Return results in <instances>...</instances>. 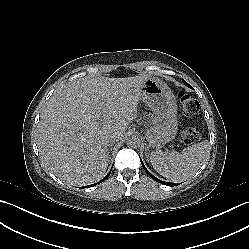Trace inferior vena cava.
<instances>
[{
	"label": "inferior vena cava",
	"mask_w": 249,
	"mask_h": 249,
	"mask_svg": "<svg viewBox=\"0 0 249 249\" xmlns=\"http://www.w3.org/2000/svg\"><path fill=\"white\" fill-rule=\"evenodd\" d=\"M107 139H108L109 143H112V142H115V141H119L120 137L118 135H111Z\"/></svg>",
	"instance_id": "602c4592"
}]
</instances>
